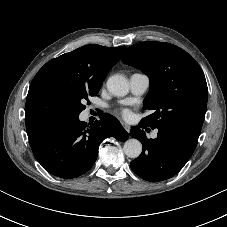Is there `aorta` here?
<instances>
[{"mask_svg": "<svg viewBox=\"0 0 227 227\" xmlns=\"http://www.w3.org/2000/svg\"><path fill=\"white\" fill-rule=\"evenodd\" d=\"M107 89L114 96L122 97L129 92V84L125 77L113 75L107 80ZM124 153L129 158H137L142 152V144L139 140L131 138L124 143Z\"/></svg>", "mask_w": 227, "mask_h": 227, "instance_id": "obj_1", "label": "aorta"}]
</instances>
